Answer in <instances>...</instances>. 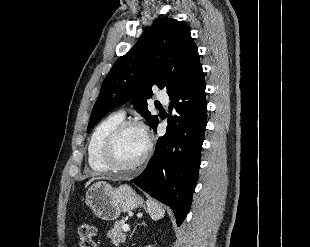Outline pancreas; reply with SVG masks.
I'll return each mask as SVG.
<instances>
[{
  "mask_svg": "<svg viewBox=\"0 0 310 247\" xmlns=\"http://www.w3.org/2000/svg\"><path fill=\"white\" fill-rule=\"evenodd\" d=\"M124 222H115L113 228L108 231L107 236L111 239V243L115 246H119L126 240V234L123 231Z\"/></svg>",
  "mask_w": 310,
  "mask_h": 247,
  "instance_id": "pancreas-1",
  "label": "pancreas"
}]
</instances>
